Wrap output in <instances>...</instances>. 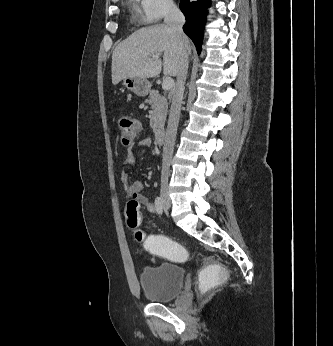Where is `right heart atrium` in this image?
Masks as SVG:
<instances>
[{
    "label": "right heart atrium",
    "mask_w": 333,
    "mask_h": 346,
    "mask_svg": "<svg viewBox=\"0 0 333 346\" xmlns=\"http://www.w3.org/2000/svg\"><path fill=\"white\" fill-rule=\"evenodd\" d=\"M143 20L146 23H155L174 13L176 5L173 0H136Z\"/></svg>",
    "instance_id": "1"
}]
</instances>
